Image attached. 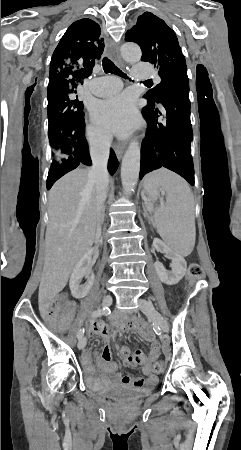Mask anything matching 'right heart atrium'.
I'll use <instances>...</instances> for the list:
<instances>
[{
    "mask_svg": "<svg viewBox=\"0 0 241 450\" xmlns=\"http://www.w3.org/2000/svg\"><path fill=\"white\" fill-rule=\"evenodd\" d=\"M86 134L94 155H110V137L92 124H87Z\"/></svg>",
    "mask_w": 241,
    "mask_h": 450,
    "instance_id": "1",
    "label": "right heart atrium"
}]
</instances>
